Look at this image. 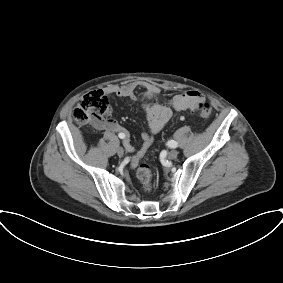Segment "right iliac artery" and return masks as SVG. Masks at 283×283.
Returning <instances> with one entry per match:
<instances>
[{"mask_svg":"<svg viewBox=\"0 0 283 283\" xmlns=\"http://www.w3.org/2000/svg\"><path fill=\"white\" fill-rule=\"evenodd\" d=\"M118 136H119V138H121V139H124V138H125V135H124L123 133H119Z\"/></svg>","mask_w":283,"mask_h":283,"instance_id":"right-iliac-artery-1","label":"right iliac artery"}]
</instances>
